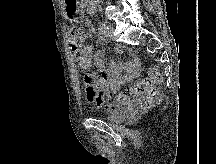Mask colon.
Returning a JSON list of instances; mask_svg holds the SVG:
<instances>
[{"label":"colon","mask_w":216,"mask_h":164,"mask_svg":"<svg viewBox=\"0 0 216 164\" xmlns=\"http://www.w3.org/2000/svg\"><path fill=\"white\" fill-rule=\"evenodd\" d=\"M163 83V77L158 66H152L146 77L139 79L129 88L121 91L116 96L107 94L106 100L117 105L129 103L137 99L143 110L151 107L159 95V89Z\"/></svg>","instance_id":"obj_1"}]
</instances>
